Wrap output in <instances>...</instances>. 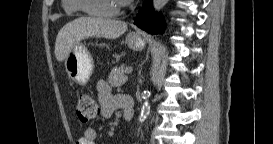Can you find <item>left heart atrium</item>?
Returning a JSON list of instances; mask_svg holds the SVG:
<instances>
[{
	"mask_svg": "<svg viewBox=\"0 0 273 144\" xmlns=\"http://www.w3.org/2000/svg\"><path fill=\"white\" fill-rule=\"evenodd\" d=\"M130 2V0H117V4L119 5H126Z\"/></svg>",
	"mask_w": 273,
	"mask_h": 144,
	"instance_id": "left-heart-atrium-1",
	"label": "left heart atrium"
}]
</instances>
